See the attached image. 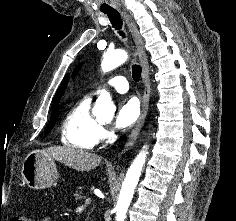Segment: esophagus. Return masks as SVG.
Masks as SVG:
<instances>
[{
    "label": "esophagus",
    "mask_w": 236,
    "mask_h": 221,
    "mask_svg": "<svg viewBox=\"0 0 236 221\" xmlns=\"http://www.w3.org/2000/svg\"><path fill=\"white\" fill-rule=\"evenodd\" d=\"M121 14L124 17L125 22H126L128 28H129V31L132 35L133 41L136 46V51H137L138 57H139L141 65H142L143 95H142V106H141L140 116H139L133 130L131 131L124 148L118 154L119 158L125 152H127L133 146V144L136 142L139 132L144 125V122H145V119H146V116L148 113L150 94H151L150 79H149V66H148L146 52L144 49L143 39L139 33V30H138L135 22L132 20L130 15H128L124 11H121Z\"/></svg>",
    "instance_id": "1"
}]
</instances>
